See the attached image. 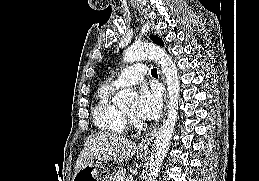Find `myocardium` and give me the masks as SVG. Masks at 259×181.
<instances>
[{
    "instance_id": "f54148a6",
    "label": "myocardium",
    "mask_w": 259,
    "mask_h": 181,
    "mask_svg": "<svg viewBox=\"0 0 259 181\" xmlns=\"http://www.w3.org/2000/svg\"><path fill=\"white\" fill-rule=\"evenodd\" d=\"M123 117L126 121L127 124H129L132 127H138L140 125V123L138 122V120L134 117V115L126 113L124 111H122Z\"/></svg>"
}]
</instances>
